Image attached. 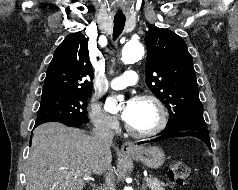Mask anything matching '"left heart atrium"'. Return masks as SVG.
I'll list each match as a JSON object with an SVG mask.
<instances>
[{
	"instance_id": "obj_1",
	"label": "left heart atrium",
	"mask_w": 238,
	"mask_h": 190,
	"mask_svg": "<svg viewBox=\"0 0 238 190\" xmlns=\"http://www.w3.org/2000/svg\"><path fill=\"white\" fill-rule=\"evenodd\" d=\"M134 103L135 100L130 99L128 101L125 102L122 111H121V117L124 121H128L132 115L133 112V108H134Z\"/></svg>"
}]
</instances>
